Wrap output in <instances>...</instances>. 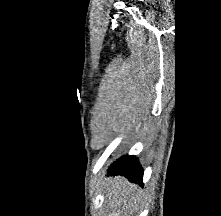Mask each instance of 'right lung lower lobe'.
Here are the masks:
<instances>
[{
	"label": "right lung lower lobe",
	"instance_id": "right-lung-lower-lobe-1",
	"mask_svg": "<svg viewBox=\"0 0 221 216\" xmlns=\"http://www.w3.org/2000/svg\"><path fill=\"white\" fill-rule=\"evenodd\" d=\"M108 173L110 175H123L135 183H142L143 179V170L135 156L121 157L112 164Z\"/></svg>",
	"mask_w": 221,
	"mask_h": 216
}]
</instances>
